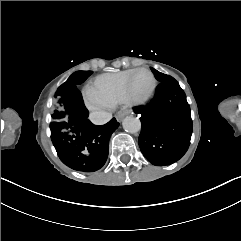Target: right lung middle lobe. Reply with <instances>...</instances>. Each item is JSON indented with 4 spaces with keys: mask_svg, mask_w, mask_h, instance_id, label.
<instances>
[{
    "mask_svg": "<svg viewBox=\"0 0 241 241\" xmlns=\"http://www.w3.org/2000/svg\"><path fill=\"white\" fill-rule=\"evenodd\" d=\"M92 71H76L63 83L55 92L52 99V123L67 121L70 119V110L68 105L67 89L70 87H77L83 83L90 75Z\"/></svg>",
    "mask_w": 241,
    "mask_h": 241,
    "instance_id": "dd1d6c3e",
    "label": "right lung middle lobe"
}]
</instances>
